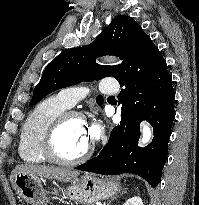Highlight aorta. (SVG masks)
Listing matches in <instances>:
<instances>
[{"instance_id":"1","label":"aorta","mask_w":199,"mask_h":205,"mask_svg":"<svg viewBox=\"0 0 199 205\" xmlns=\"http://www.w3.org/2000/svg\"><path fill=\"white\" fill-rule=\"evenodd\" d=\"M143 137L141 140V145H146L149 143L152 137V132L147 124H143Z\"/></svg>"}]
</instances>
